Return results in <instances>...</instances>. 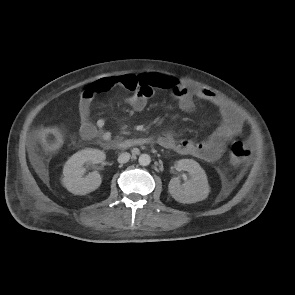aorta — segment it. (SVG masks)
Listing matches in <instances>:
<instances>
[{"label": "aorta", "mask_w": 295, "mask_h": 295, "mask_svg": "<svg viewBox=\"0 0 295 295\" xmlns=\"http://www.w3.org/2000/svg\"><path fill=\"white\" fill-rule=\"evenodd\" d=\"M138 161H139V164H140V165H142V166H147V165L150 164V162H151V158H150V156H149L148 154H141V155L139 156Z\"/></svg>", "instance_id": "aorta-1"}]
</instances>
